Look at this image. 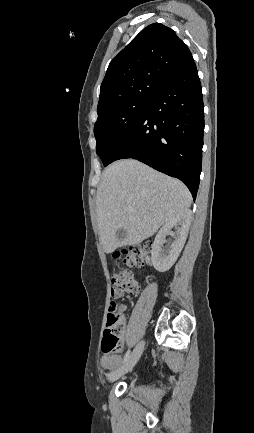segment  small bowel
<instances>
[{
    "label": "small bowel",
    "mask_w": 254,
    "mask_h": 433,
    "mask_svg": "<svg viewBox=\"0 0 254 433\" xmlns=\"http://www.w3.org/2000/svg\"><path fill=\"white\" fill-rule=\"evenodd\" d=\"M123 295L124 292H116L112 295V297L121 298ZM121 310L124 311L125 307L122 306ZM123 322H125L124 318H123ZM120 363H121V356L118 354H106L101 359V366L105 370H115L119 367Z\"/></svg>",
    "instance_id": "1"
}]
</instances>
